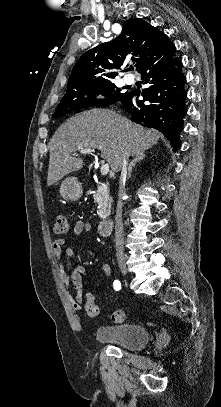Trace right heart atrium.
Returning a JSON list of instances; mask_svg holds the SVG:
<instances>
[{
	"mask_svg": "<svg viewBox=\"0 0 221 407\" xmlns=\"http://www.w3.org/2000/svg\"><path fill=\"white\" fill-rule=\"evenodd\" d=\"M105 96L103 94H96L95 95V101L96 102H104Z\"/></svg>",
	"mask_w": 221,
	"mask_h": 407,
	"instance_id": "d8ad5b80",
	"label": "right heart atrium"
}]
</instances>
